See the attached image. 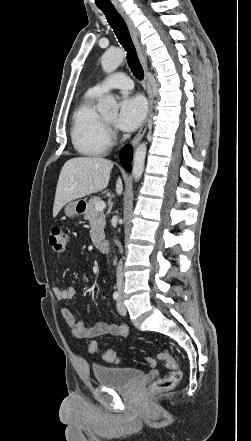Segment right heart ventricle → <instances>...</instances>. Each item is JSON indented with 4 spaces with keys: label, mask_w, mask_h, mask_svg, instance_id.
Masks as SVG:
<instances>
[{
    "label": "right heart ventricle",
    "mask_w": 251,
    "mask_h": 441,
    "mask_svg": "<svg viewBox=\"0 0 251 441\" xmlns=\"http://www.w3.org/2000/svg\"><path fill=\"white\" fill-rule=\"evenodd\" d=\"M99 96L92 89L88 90L72 117V143L76 151L85 156L102 155L110 146L107 126L95 106Z\"/></svg>",
    "instance_id": "right-heart-ventricle-1"
}]
</instances>
